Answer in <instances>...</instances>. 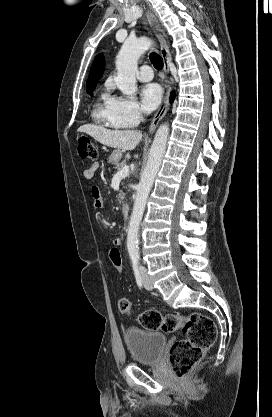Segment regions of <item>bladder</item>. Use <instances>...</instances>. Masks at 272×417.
Here are the masks:
<instances>
[{
    "instance_id": "obj_1",
    "label": "bladder",
    "mask_w": 272,
    "mask_h": 417,
    "mask_svg": "<svg viewBox=\"0 0 272 417\" xmlns=\"http://www.w3.org/2000/svg\"><path fill=\"white\" fill-rule=\"evenodd\" d=\"M166 336L160 332L130 327L124 332V342L133 360L140 364H156L160 361L166 344Z\"/></svg>"
}]
</instances>
